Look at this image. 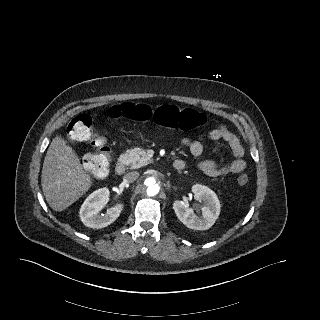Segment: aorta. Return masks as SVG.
<instances>
[{
  "label": "aorta",
  "instance_id": "762f6f07",
  "mask_svg": "<svg viewBox=\"0 0 320 320\" xmlns=\"http://www.w3.org/2000/svg\"><path fill=\"white\" fill-rule=\"evenodd\" d=\"M142 186L147 196L154 197L160 192V183L157 178L153 176H145L142 179Z\"/></svg>",
  "mask_w": 320,
  "mask_h": 320
}]
</instances>
